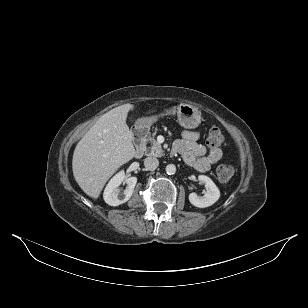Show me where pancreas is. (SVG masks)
<instances>
[{"instance_id": "obj_1", "label": "pancreas", "mask_w": 308, "mask_h": 308, "mask_svg": "<svg viewBox=\"0 0 308 308\" xmlns=\"http://www.w3.org/2000/svg\"><path fill=\"white\" fill-rule=\"evenodd\" d=\"M150 143L149 146L146 147L145 154L148 156L161 157L163 156V149L161 145L156 141L155 134L152 136L148 135L146 139V144Z\"/></svg>"}]
</instances>
